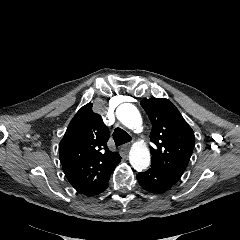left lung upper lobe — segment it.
I'll list each match as a JSON object with an SVG mask.
<instances>
[{
	"label": "left lung upper lobe",
	"instance_id": "left-lung-upper-lobe-1",
	"mask_svg": "<svg viewBox=\"0 0 240 240\" xmlns=\"http://www.w3.org/2000/svg\"><path fill=\"white\" fill-rule=\"evenodd\" d=\"M141 105L152 123L151 165L179 181L195 145L194 132L168 99H145Z\"/></svg>",
	"mask_w": 240,
	"mask_h": 240
}]
</instances>
